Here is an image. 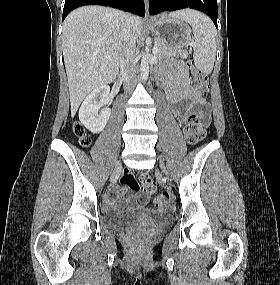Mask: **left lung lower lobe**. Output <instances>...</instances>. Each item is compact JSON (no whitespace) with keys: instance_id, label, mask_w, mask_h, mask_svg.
Here are the masks:
<instances>
[{"instance_id":"1","label":"left lung lower lobe","mask_w":280,"mask_h":285,"mask_svg":"<svg viewBox=\"0 0 280 285\" xmlns=\"http://www.w3.org/2000/svg\"><path fill=\"white\" fill-rule=\"evenodd\" d=\"M192 8L206 13L217 27V0H149V13Z\"/></svg>"}]
</instances>
